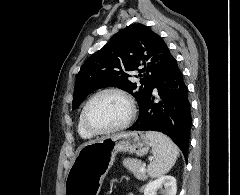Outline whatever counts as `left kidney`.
I'll return each instance as SVG.
<instances>
[{"mask_svg":"<svg viewBox=\"0 0 240 195\" xmlns=\"http://www.w3.org/2000/svg\"><path fill=\"white\" fill-rule=\"evenodd\" d=\"M157 189H162L163 195H176L177 185L175 177L173 175H162L159 179L149 181L144 187V195H157Z\"/></svg>","mask_w":240,"mask_h":195,"instance_id":"1","label":"left kidney"}]
</instances>
